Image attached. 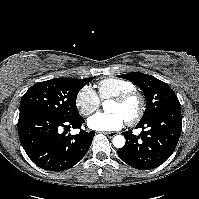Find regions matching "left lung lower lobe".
Returning a JSON list of instances; mask_svg holds the SVG:
<instances>
[{
	"label": "left lung lower lobe",
	"mask_w": 199,
	"mask_h": 199,
	"mask_svg": "<svg viewBox=\"0 0 199 199\" xmlns=\"http://www.w3.org/2000/svg\"><path fill=\"white\" fill-rule=\"evenodd\" d=\"M139 136L126 131L124 147L118 156L128 165L140 170H150L163 164L175 150L181 135L182 117L180 107L164 110L153 117L139 122Z\"/></svg>",
	"instance_id": "0a47b994"
}]
</instances>
